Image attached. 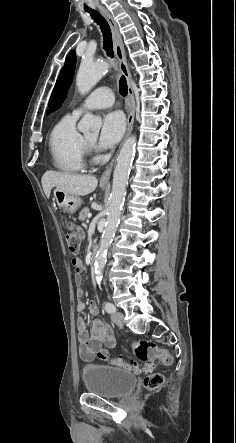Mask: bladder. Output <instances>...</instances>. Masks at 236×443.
<instances>
[{
    "instance_id": "31cf9c89",
    "label": "bladder",
    "mask_w": 236,
    "mask_h": 443,
    "mask_svg": "<svg viewBox=\"0 0 236 443\" xmlns=\"http://www.w3.org/2000/svg\"><path fill=\"white\" fill-rule=\"evenodd\" d=\"M82 378L89 394L109 399L126 396L136 384L133 372L104 365H86L82 371Z\"/></svg>"
}]
</instances>
